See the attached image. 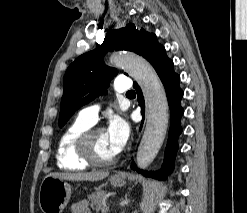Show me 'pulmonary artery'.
I'll return each mask as SVG.
<instances>
[{
    "label": "pulmonary artery",
    "instance_id": "obj_1",
    "mask_svg": "<svg viewBox=\"0 0 247 213\" xmlns=\"http://www.w3.org/2000/svg\"><path fill=\"white\" fill-rule=\"evenodd\" d=\"M131 81L127 77H117L115 79V91L117 93H125L131 90ZM100 107L98 105L89 106L83 108L79 111L78 117L84 121H87L91 124H95L98 118Z\"/></svg>",
    "mask_w": 247,
    "mask_h": 213
}]
</instances>
